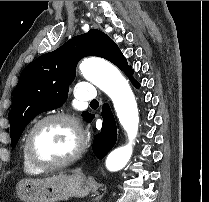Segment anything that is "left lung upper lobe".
<instances>
[{"label":"left lung upper lobe","mask_w":209,"mask_h":202,"mask_svg":"<svg viewBox=\"0 0 209 202\" xmlns=\"http://www.w3.org/2000/svg\"><path fill=\"white\" fill-rule=\"evenodd\" d=\"M86 56L105 58L125 73L131 68L117 44L100 30L75 36L29 63L21 72L13 94L9 118L12 148L34 117L64 104L76 75V65ZM82 116L88 122L93 119L87 111Z\"/></svg>","instance_id":"1"}]
</instances>
